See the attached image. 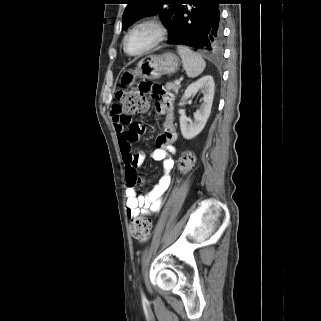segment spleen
<instances>
[{
	"label": "spleen",
	"mask_w": 321,
	"mask_h": 321,
	"mask_svg": "<svg viewBox=\"0 0 321 321\" xmlns=\"http://www.w3.org/2000/svg\"><path fill=\"white\" fill-rule=\"evenodd\" d=\"M177 49L187 76L190 78L199 76L206 66L204 59L187 46L179 45Z\"/></svg>",
	"instance_id": "obj_1"
}]
</instances>
